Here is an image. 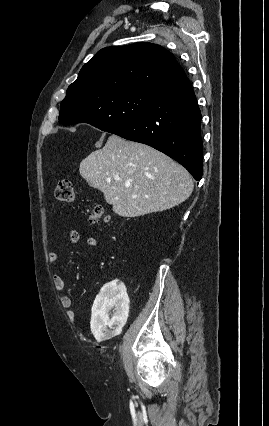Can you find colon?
<instances>
[{
    "mask_svg": "<svg viewBox=\"0 0 269 426\" xmlns=\"http://www.w3.org/2000/svg\"><path fill=\"white\" fill-rule=\"evenodd\" d=\"M55 197L61 202H73L75 192L73 184L70 180H60L55 188ZM89 220L93 224H108L110 218L105 214L104 209L100 205H93L89 212Z\"/></svg>",
    "mask_w": 269,
    "mask_h": 426,
    "instance_id": "5ec220e1",
    "label": "colon"
}]
</instances>
